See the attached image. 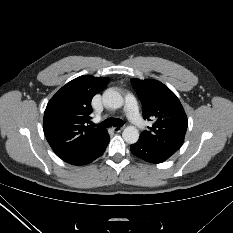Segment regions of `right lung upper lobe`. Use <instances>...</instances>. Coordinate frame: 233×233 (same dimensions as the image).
<instances>
[{
    "label": "right lung upper lobe",
    "instance_id": "obj_1",
    "mask_svg": "<svg viewBox=\"0 0 233 233\" xmlns=\"http://www.w3.org/2000/svg\"><path fill=\"white\" fill-rule=\"evenodd\" d=\"M105 77L80 76L64 85L49 101L43 130L55 154L69 163L92 150L107 131L87 126L91 100L108 84Z\"/></svg>",
    "mask_w": 233,
    "mask_h": 233
}]
</instances>
